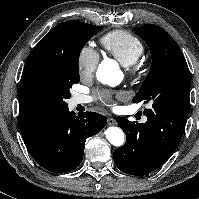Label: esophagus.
<instances>
[{
	"label": "esophagus",
	"instance_id": "1",
	"mask_svg": "<svg viewBox=\"0 0 199 199\" xmlns=\"http://www.w3.org/2000/svg\"><path fill=\"white\" fill-rule=\"evenodd\" d=\"M107 122H108V125H114L115 124V119L108 118Z\"/></svg>",
	"mask_w": 199,
	"mask_h": 199
}]
</instances>
